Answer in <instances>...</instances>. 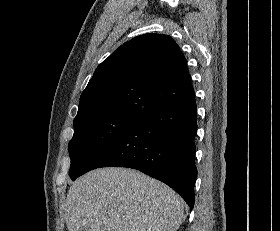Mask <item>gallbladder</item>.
<instances>
[{"label":"gallbladder","mask_w":280,"mask_h":231,"mask_svg":"<svg viewBox=\"0 0 280 231\" xmlns=\"http://www.w3.org/2000/svg\"><path fill=\"white\" fill-rule=\"evenodd\" d=\"M79 231H86V229H79Z\"/></svg>","instance_id":"1"}]
</instances>
